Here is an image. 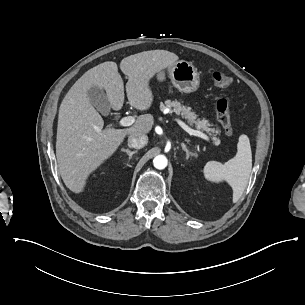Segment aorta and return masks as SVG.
Returning a JSON list of instances; mask_svg holds the SVG:
<instances>
[{"mask_svg": "<svg viewBox=\"0 0 305 305\" xmlns=\"http://www.w3.org/2000/svg\"><path fill=\"white\" fill-rule=\"evenodd\" d=\"M153 165L156 169L162 170L168 165V160L164 155H157L153 159Z\"/></svg>", "mask_w": 305, "mask_h": 305, "instance_id": "obj_1", "label": "aorta"}]
</instances>
